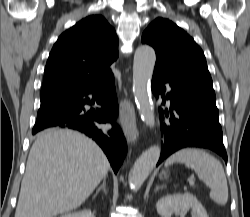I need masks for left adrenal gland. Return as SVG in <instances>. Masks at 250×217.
<instances>
[{"instance_id": "left-adrenal-gland-1", "label": "left adrenal gland", "mask_w": 250, "mask_h": 217, "mask_svg": "<svg viewBox=\"0 0 250 217\" xmlns=\"http://www.w3.org/2000/svg\"><path fill=\"white\" fill-rule=\"evenodd\" d=\"M164 188H166V185L156 186L155 192H157L158 190L164 189Z\"/></svg>"}]
</instances>
